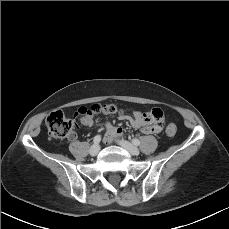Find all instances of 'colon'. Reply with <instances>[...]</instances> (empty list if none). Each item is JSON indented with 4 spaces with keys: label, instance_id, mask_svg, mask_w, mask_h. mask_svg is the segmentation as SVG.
<instances>
[{
    "label": "colon",
    "instance_id": "obj_1",
    "mask_svg": "<svg viewBox=\"0 0 229 229\" xmlns=\"http://www.w3.org/2000/svg\"><path fill=\"white\" fill-rule=\"evenodd\" d=\"M118 111L115 104H93L90 107H82L78 114L86 115L89 113H101L105 115L114 114ZM146 123H155L156 128H160L164 122V113L161 109L155 108L150 112L145 113ZM46 126L49 135L54 139H64L72 132L74 124L70 121L61 110L51 112L46 119ZM176 126L170 124L166 128V134L173 136L176 133Z\"/></svg>",
    "mask_w": 229,
    "mask_h": 229
}]
</instances>
